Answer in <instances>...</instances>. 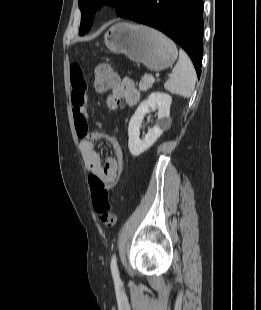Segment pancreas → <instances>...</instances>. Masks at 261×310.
<instances>
[{"instance_id": "pancreas-1", "label": "pancreas", "mask_w": 261, "mask_h": 310, "mask_svg": "<svg viewBox=\"0 0 261 310\" xmlns=\"http://www.w3.org/2000/svg\"><path fill=\"white\" fill-rule=\"evenodd\" d=\"M153 83L154 78L152 77V75L145 74L139 83V90L145 92L152 87Z\"/></svg>"}]
</instances>
